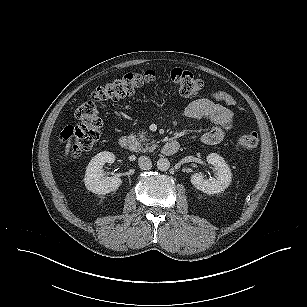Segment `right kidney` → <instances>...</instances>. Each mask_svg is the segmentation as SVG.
<instances>
[{"label": "right kidney", "mask_w": 307, "mask_h": 307, "mask_svg": "<svg viewBox=\"0 0 307 307\" xmlns=\"http://www.w3.org/2000/svg\"><path fill=\"white\" fill-rule=\"evenodd\" d=\"M115 155L108 151H103L95 155L86 168L85 186L95 194H107L115 191L122 184L118 177H104L102 170L105 163H113Z\"/></svg>", "instance_id": "right-kidney-1"}]
</instances>
